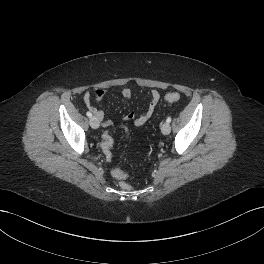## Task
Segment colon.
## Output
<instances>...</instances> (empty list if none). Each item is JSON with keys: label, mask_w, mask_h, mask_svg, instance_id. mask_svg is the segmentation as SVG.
<instances>
[{"label": "colon", "mask_w": 264, "mask_h": 264, "mask_svg": "<svg viewBox=\"0 0 264 264\" xmlns=\"http://www.w3.org/2000/svg\"><path fill=\"white\" fill-rule=\"evenodd\" d=\"M180 98H181L180 94L177 92H170L165 95V100L170 103L178 102ZM113 143L114 141L110 133L105 132L102 136V142H101V146L105 155H110V154L112 155L111 149L113 147ZM115 178L121 180L120 187L123 190L129 191L132 189V186L128 182L124 181L127 178V174L125 172L121 170L116 172Z\"/></svg>", "instance_id": "1"}]
</instances>
